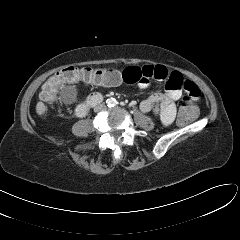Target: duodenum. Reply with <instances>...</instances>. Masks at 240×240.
<instances>
[{"label":"duodenum","instance_id":"obj_1","mask_svg":"<svg viewBox=\"0 0 240 240\" xmlns=\"http://www.w3.org/2000/svg\"><path fill=\"white\" fill-rule=\"evenodd\" d=\"M101 99L102 97L99 94H94L88 97L86 101L77 106L76 108L77 116L79 117L85 116L92 107L100 103Z\"/></svg>","mask_w":240,"mask_h":240}]
</instances>
